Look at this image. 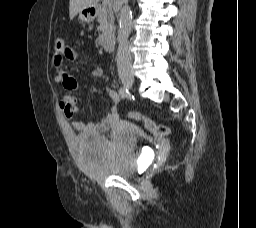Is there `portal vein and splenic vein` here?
<instances>
[{
    "label": "portal vein and splenic vein",
    "instance_id": "1",
    "mask_svg": "<svg viewBox=\"0 0 256 228\" xmlns=\"http://www.w3.org/2000/svg\"><path fill=\"white\" fill-rule=\"evenodd\" d=\"M105 2H109L110 0H104Z\"/></svg>",
    "mask_w": 256,
    "mask_h": 228
}]
</instances>
